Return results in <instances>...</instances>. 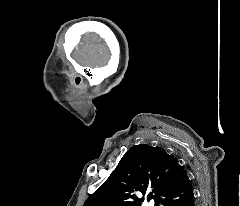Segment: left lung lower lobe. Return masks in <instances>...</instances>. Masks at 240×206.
I'll return each instance as SVG.
<instances>
[{
	"instance_id": "obj_1",
	"label": "left lung lower lobe",
	"mask_w": 240,
	"mask_h": 206,
	"mask_svg": "<svg viewBox=\"0 0 240 206\" xmlns=\"http://www.w3.org/2000/svg\"><path fill=\"white\" fill-rule=\"evenodd\" d=\"M194 200L191 180L179 164L175 179L161 204L163 206H195Z\"/></svg>"
}]
</instances>
